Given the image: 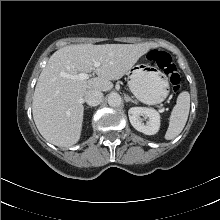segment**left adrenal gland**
<instances>
[{"instance_id": "1", "label": "left adrenal gland", "mask_w": 220, "mask_h": 220, "mask_svg": "<svg viewBox=\"0 0 220 220\" xmlns=\"http://www.w3.org/2000/svg\"><path fill=\"white\" fill-rule=\"evenodd\" d=\"M125 101L126 102H132V103H135V104H137V101H135V100H133V99H131V97H129L128 95H125Z\"/></svg>"}]
</instances>
